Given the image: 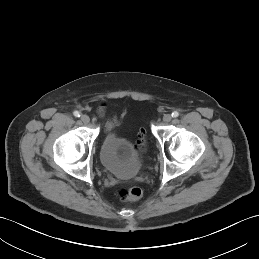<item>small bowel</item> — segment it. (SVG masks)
<instances>
[{"label":"small bowel","mask_w":259,"mask_h":259,"mask_svg":"<svg viewBox=\"0 0 259 259\" xmlns=\"http://www.w3.org/2000/svg\"><path fill=\"white\" fill-rule=\"evenodd\" d=\"M106 104L102 103L98 108V115L100 117H103L106 113ZM119 124V119L117 116H113L111 119H109L105 124V130L106 132H112Z\"/></svg>","instance_id":"1"}]
</instances>
